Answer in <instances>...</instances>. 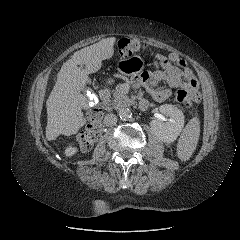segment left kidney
<instances>
[{"label": "left kidney", "instance_id": "5707ae66", "mask_svg": "<svg viewBox=\"0 0 240 240\" xmlns=\"http://www.w3.org/2000/svg\"><path fill=\"white\" fill-rule=\"evenodd\" d=\"M160 112L169 116V121L164 123L159 119L150 122L153 134L161 141L170 143L177 139L184 127V114L174 105L164 104L159 108Z\"/></svg>", "mask_w": 240, "mask_h": 240}]
</instances>
